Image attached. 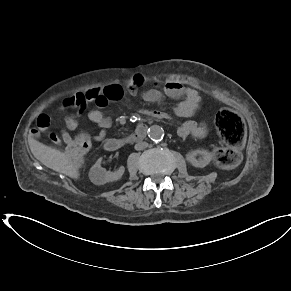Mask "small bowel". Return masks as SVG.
Wrapping results in <instances>:
<instances>
[{
	"label": "small bowel",
	"mask_w": 291,
	"mask_h": 291,
	"mask_svg": "<svg viewBox=\"0 0 291 291\" xmlns=\"http://www.w3.org/2000/svg\"><path fill=\"white\" fill-rule=\"evenodd\" d=\"M146 77L140 73H134L125 84L109 83L104 86H93L86 90L79 91L75 94V106L77 108L76 115L79 116L83 113L85 107L89 103H94L97 108L88 113L90 121L98 125L99 131L93 135L92 139L101 141L106 137V131L111 126V120L104 115L102 110L109 102L120 100L124 93L127 91L130 94H136L138 90L146 83ZM164 95L171 98L183 97L175 107V114L186 119L178 129V134L181 137L193 136L196 138L204 137L207 133V126L205 123H197L190 119L191 116L199 107L200 96L195 89L184 87L177 81L166 82L163 90L159 88H151L143 93V99L149 103L160 102ZM139 115L148 120H163L168 121L170 114L164 111H151L147 108H141ZM67 127L73 129L76 126L74 118L67 119ZM50 126V117L48 114L43 113L39 115L36 123V128L32 131L33 137H39L42 132L48 130ZM62 140L68 145L72 136L67 131H62ZM55 143H60L56 137L52 140Z\"/></svg>",
	"instance_id": "obj_1"
}]
</instances>
